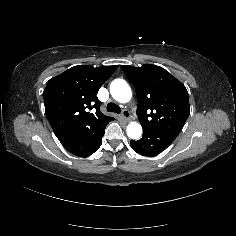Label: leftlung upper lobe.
Returning <instances> with one entry per match:
<instances>
[{"label":"left lung upper lobe","instance_id":"left-lung-upper-lobe-1","mask_svg":"<svg viewBox=\"0 0 236 236\" xmlns=\"http://www.w3.org/2000/svg\"><path fill=\"white\" fill-rule=\"evenodd\" d=\"M121 69L135 87L137 114L143 129L178 135L190 113L185 86L159 66L145 64Z\"/></svg>","mask_w":236,"mask_h":236}]
</instances>
